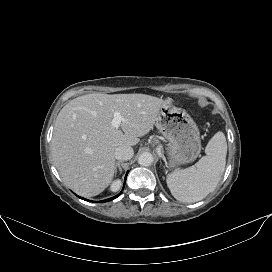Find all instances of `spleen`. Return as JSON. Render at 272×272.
<instances>
[{
	"label": "spleen",
	"instance_id": "obj_1",
	"mask_svg": "<svg viewBox=\"0 0 272 272\" xmlns=\"http://www.w3.org/2000/svg\"><path fill=\"white\" fill-rule=\"evenodd\" d=\"M203 156L195 165L171 173L167 185L179 201L193 203L205 198L219 183L226 164L227 143L223 132L208 142Z\"/></svg>",
	"mask_w": 272,
	"mask_h": 272
}]
</instances>
